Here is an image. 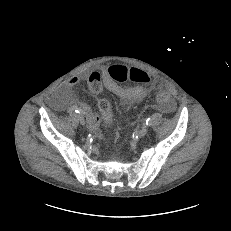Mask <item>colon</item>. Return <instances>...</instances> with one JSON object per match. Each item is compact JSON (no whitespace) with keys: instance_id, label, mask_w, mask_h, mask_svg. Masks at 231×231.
<instances>
[{"instance_id":"5ec220e1","label":"colon","mask_w":231,"mask_h":231,"mask_svg":"<svg viewBox=\"0 0 231 231\" xmlns=\"http://www.w3.org/2000/svg\"><path fill=\"white\" fill-rule=\"evenodd\" d=\"M108 75L113 83H120L126 80H132L135 82L146 83L148 81L147 74L135 67H128L121 64L112 65L108 69ZM91 88L95 93H100L102 90V83L100 80H96L91 84ZM157 100L160 103H168L170 96L167 92L161 91L157 94ZM98 107L101 111L104 123L109 128H114L113 113L111 105L108 100L101 98L98 102Z\"/></svg>"}]
</instances>
